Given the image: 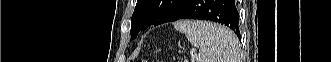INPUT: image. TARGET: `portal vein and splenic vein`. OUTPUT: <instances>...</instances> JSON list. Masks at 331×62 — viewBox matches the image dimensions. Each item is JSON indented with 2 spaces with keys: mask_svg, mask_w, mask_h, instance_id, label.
Instances as JSON below:
<instances>
[{
  "mask_svg": "<svg viewBox=\"0 0 331 62\" xmlns=\"http://www.w3.org/2000/svg\"><path fill=\"white\" fill-rule=\"evenodd\" d=\"M192 57H193L192 59L194 60L195 56H192Z\"/></svg>",
  "mask_w": 331,
  "mask_h": 62,
  "instance_id": "obj_1",
  "label": "portal vein and splenic vein"
}]
</instances>
